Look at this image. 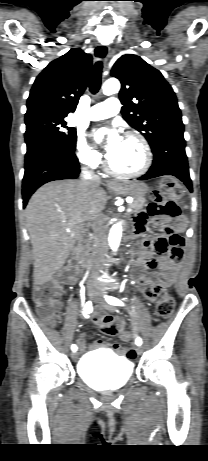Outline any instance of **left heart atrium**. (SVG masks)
<instances>
[{
    "label": "left heart atrium",
    "mask_w": 208,
    "mask_h": 461,
    "mask_svg": "<svg viewBox=\"0 0 208 461\" xmlns=\"http://www.w3.org/2000/svg\"><path fill=\"white\" fill-rule=\"evenodd\" d=\"M94 136L97 141H101L103 139L106 140V151L108 155L115 150V148L119 145L122 139V137L118 134L117 131L108 130L105 128L97 130Z\"/></svg>",
    "instance_id": "1"
}]
</instances>
